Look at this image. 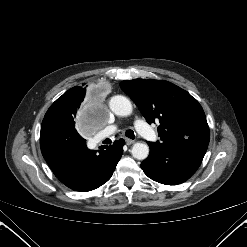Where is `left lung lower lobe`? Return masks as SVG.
<instances>
[{
    "mask_svg": "<svg viewBox=\"0 0 247 247\" xmlns=\"http://www.w3.org/2000/svg\"><path fill=\"white\" fill-rule=\"evenodd\" d=\"M150 154L141 163L144 173L152 180L177 185L189 179L200 166L206 144L185 142L174 146H162L148 142Z\"/></svg>",
    "mask_w": 247,
    "mask_h": 247,
    "instance_id": "1",
    "label": "left lung lower lobe"
}]
</instances>
